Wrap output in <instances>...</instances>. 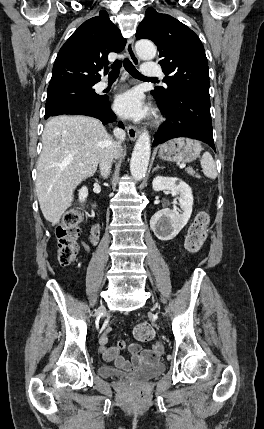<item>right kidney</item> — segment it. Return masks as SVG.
<instances>
[{
  "instance_id": "1",
  "label": "right kidney",
  "mask_w": 264,
  "mask_h": 429,
  "mask_svg": "<svg viewBox=\"0 0 264 429\" xmlns=\"http://www.w3.org/2000/svg\"><path fill=\"white\" fill-rule=\"evenodd\" d=\"M78 196H79V200H80V202L82 203V202H85V200H86V198H87V196H88V189H87V187H82L80 190H79V194H78Z\"/></svg>"
}]
</instances>
